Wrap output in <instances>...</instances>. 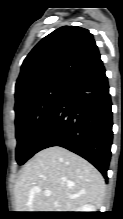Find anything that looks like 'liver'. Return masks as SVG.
Returning a JSON list of instances; mask_svg holds the SVG:
<instances>
[{"label": "liver", "instance_id": "1", "mask_svg": "<svg viewBox=\"0 0 123 219\" xmlns=\"http://www.w3.org/2000/svg\"><path fill=\"white\" fill-rule=\"evenodd\" d=\"M51 192L46 196L44 192ZM16 212H77L99 208L105 196L101 173L87 160L59 147L46 148L23 167L14 187Z\"/></svg>", "mask_w": 123, "mask_h": 219}]
</instances>
